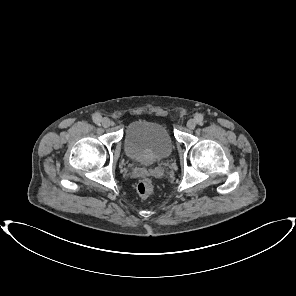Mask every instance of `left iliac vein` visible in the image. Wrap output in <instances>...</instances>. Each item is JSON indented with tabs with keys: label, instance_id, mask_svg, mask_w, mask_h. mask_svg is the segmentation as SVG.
Segmentation results:
<instances>
[{
	"label": "left iliac vein",
	"instance_id": "4c4485c4",
	"mask_svg": "<svg viewBox=\"0 0 296 296\" xmlns=\"http://www.w3.org/2000/svg\"><path fill=\"white\" fill-rule=\"evenodd\" d=\"M196 127V121L194 119H190L187 122V128L188 129H194Z\"/></svg>",
	"mask_w": 296,
	"mask_h": 296
}]
</instances>
